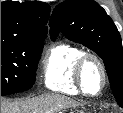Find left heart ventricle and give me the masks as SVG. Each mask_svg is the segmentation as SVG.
Instances as JSON below:
<instances>
[{"instance_id":"obj_1","label":"left heart ventricle","mask_w":123,"mask_h":113,"mask_svg":"<svg viewBox=\"0 0 123 113\" xmlns=\"http://www.w3.org/2000/svg\"><path fill=\"white\" fill-rule=\"evenodd\" d=\"M85 81L89 92H96L102 82L101 72L95 62H89L85 68Z\"/></svg>"}]
</instances>
